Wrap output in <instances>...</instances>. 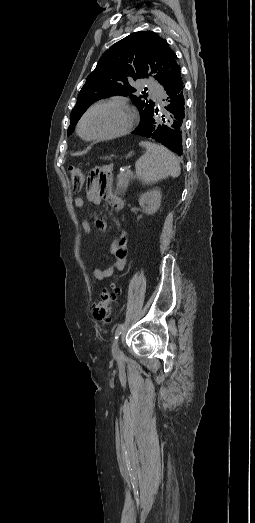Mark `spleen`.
<instances>
[{
    "mask_svg": "<svg viewBox=\"0 0 255 523\" xmlns=\"http://www.w3.org/2000/svg\"><path fill=\"white\" fill-rule=\"evenodd\" d=\"M140 146L146 148V154L137 160L135 168L138 178L144 184H156L167 176L172 178L180 176V164L176 156L167 148L151 142H141Z\"/></svg>",
    "mask_w": 255,
    "mask_h": 523,
    "instance_id": "3e777b00",
    "label": "spleen"
}]
</instances>
